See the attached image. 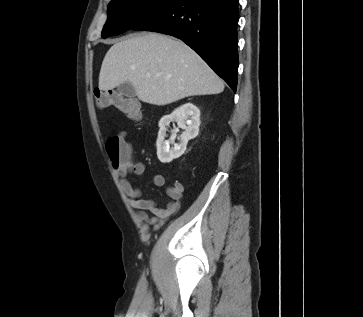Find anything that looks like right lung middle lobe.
<instances>
[{
	"mask_svg": "<svg viewBox=\"0 0 363 317\" xmlns=\"http://www.w3.org/2000/svg\"><path fill=\"white\" fill-rule=\"evenodd\" d=\"M177 0H111L108 19L101 36L107 38L124 33Z\"/></svg>",
	"mask_w": 363,
	"mask_h": 317,
	"instance_id": "dd1d6c3e",
	"label": "right lung middle lobe"
}]
</instances>
